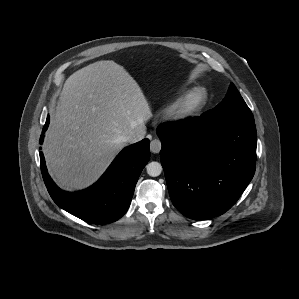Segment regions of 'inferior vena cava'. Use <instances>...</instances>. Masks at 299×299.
I'll return each instance as SVG.
<instances>
[{"mask_svg":"<svg viewBox=\"0 0 299 299\" xmlns=\"http://www.w3.org/2000/svg\"><path fill=\"white\" fill-rule=\"evenodd\" d=\"M145 134H146L145 127H142L130 135L122 136L120 138V141L122 143H135L142 140L145 137Z\"/></svg>","mask_w":299,"mask_h":299,"instance_id":"inferior-vena-cava-1","label":"inferior vena cava"}]
</instances>
